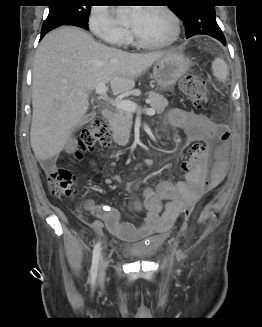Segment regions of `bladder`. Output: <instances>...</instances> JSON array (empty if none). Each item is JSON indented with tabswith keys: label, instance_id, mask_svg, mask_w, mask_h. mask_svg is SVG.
<instances>
[{
	"label": "bladder",
	"instance_id": "31cf9c89",
	"mask_svg": "<svg viewBox=\"0 0 262 327\" xmlns=\"http://www.w3.org/2000/svg\"><path fill=\"white\" fill-rule=\"evenodd\" d=\"M140 241L125 246L124 251L128 254L132 261H150L159 252L165 244V238L153 236L149 239V243Z\"/></svg>",
	"mask_w": 262,
	"mask_h": 327
}]
</instances>
